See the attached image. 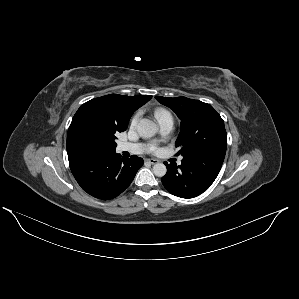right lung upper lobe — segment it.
Wrapping results in <instances>:
<instances>
[{"instance_id":"cb5924a9","label":"right lung upper lobe","mask_w":299,"mask_h":299,"mask_svg":"<svg viewBox=\"0 0 299 299\" xmlns=\"http://www.w3.org/2000/svg\"><path fill=\"white\" fill-rule=\"evenodd\" d=\"M151 95L124 96L110 94L92 99L78 109L74 115L67 134L68 156L85 151L76 137L77 126L87 119H100L127 128L134 111L151 99Z\"/></svg>"}]
</instances>
